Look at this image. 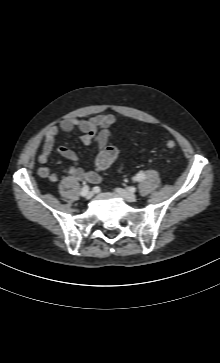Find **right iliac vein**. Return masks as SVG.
<instances>
[{
	"label": "right iliac vein",
	"instance_id": "63e3f726",
	"mask_svg": "<svg viewBox=\"0 0 220 363\" xmlns=\"http://www.w3.org/2000/svg\"><path fill=\"white\" fill-rule=\"evenodd\" d=\"M92 196H93V193H92V192H88V193L85 195V198H86L87 200H89V199H91V198H92Z\"/></svg>",
	"mask_w": 220,
	"mask_h": 363
}]
</instances>
